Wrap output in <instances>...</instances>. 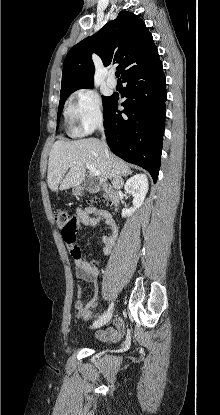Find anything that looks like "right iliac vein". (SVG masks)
<instances>
[{
  "label": "right iliac vein",
  "instance_id": "1",
  "mask_svg": "<svg viewBox=\"0 0 220 415\" xmlns=\"http://www.w3.org/2000/svg\"><path fill=\"white\" fill-rule=\"evenodd\" d=\"M111 317H112V313L110 312V313L106 314L105 316L101 317L100 319H98L97 321H95L92 324L91 328L96 329V328H99V327L105 325L106 323H108L110 321Z\"/></svg>",
  "mask_w": 220,
  "mask_h": 415
}]
</instances>
